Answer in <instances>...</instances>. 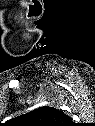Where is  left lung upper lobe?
Here are the masks:
<instances>
[{
  "instance_id": "1",
  "label": "left lung upper lobe",
  "mask_w": 95,
  "mask_h": 126,
  "mask_svg": "<svg viewBox=\"0 0 95 126\" xmlns=\"http://www.w3.org/2000/svg\"><path fill=\"white\" fill-rule=\"evenodd\" d=\"M21 126H68L70 118L54 107H40L16 118Z\"/></svg>"
}]
</instances>
